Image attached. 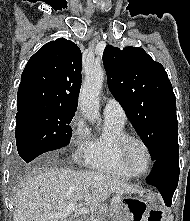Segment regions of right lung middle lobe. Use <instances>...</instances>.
I'll list each match as a JSON object with an SVG mask.
<instances>
[{"instance_id":"dd1d6c3e","label":"right lung middle lobe","mask_w":190,"mask_h":221,"mask_svg":"<svg viewBox=\"0 0 190 221\" xmlns=\"http://www.w3.org/2000/svg\"><path fill=\"white\" fill-rule=\"evenodd\" d=\"M75 111L37 107L16 114V145L20 157L30 162L37 156L70 143L69 126Z\"/></svg>"}]
</instances>
